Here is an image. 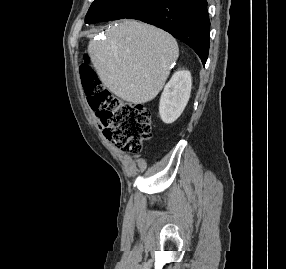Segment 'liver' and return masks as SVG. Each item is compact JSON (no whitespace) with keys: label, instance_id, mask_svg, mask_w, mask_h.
I'll list each match as a JSON object with an SVG mask.
<instances>
[{"label":"liver","instance_id":"liver-1","mask_svg":"<svg viewBox=\"0 0 286 269\" xmlns=\"http://www.w3.org/2000/svg\"><path fill=\"white\" fill-rule=\"evenodd\" d=\"M88 55L108 90L119 98L143 104L162 90L170 65L179 56L176 40L167 32L135 20H123L106 39L88 35Z\"/></svg>","mask_w":286,"mask_h":269}]
</instances>
